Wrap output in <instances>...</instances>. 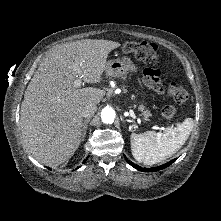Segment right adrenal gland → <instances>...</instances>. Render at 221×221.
<instances>
[{
  "label": "right adrenal gland",
  "mask_w": 221,
  "mask_h": 221,
  "mask_svg": "<svg viewBox=\"0 0 221 221\" xmlns=\"http://www.w3.org/2000/svg\"><path fill=\"white\" fill-rule=\"evenodd\" d=\"M89 121H90L89 119L83 120V125H82V140H84V138H85Z\"/></svg>",
  "instance_id": "2a0ac1e0"
}]
</instances>
